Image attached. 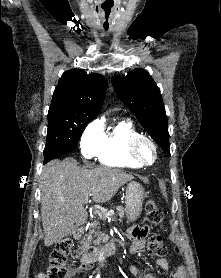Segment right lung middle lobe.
<instances>
[{
  "label": "right lung middle lobe",
  "mask_w": 221,
  "mask_h": 278,
  "mask_svg": "<svg viewBox=\"0 0 221 278\" xmlns=\"http://www.w3.org/2000/svg\"><path fill=\"white\" fill-rule=\"evenodd\" d=\"M90 122L86 117L70 119L64 116L48 115L47 142L44 160L50 161L74 149L81 134Z\"/></svg>",
  "instance_id": "dd1d6c3e"
}]
</instances>
